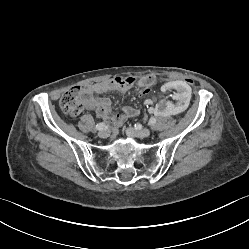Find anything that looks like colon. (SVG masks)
<instances>
[{"mask_svg":"<svg viewBox=\"0 0 249 249\" xmlns=\"http://www.w3.org/2000/svg\"><path fill=\"white\" fill-rule=\"evenodd\" d=\"M139 81L145 85L152 86L154 82L158 81L153 77H149L148 80L146 77H140ZM148 89L143 88L142 91L140 88L136 89V95L140 96L142 93L146 94ZM60 105L62 109L70 114L77 115L79 114L84 107V93L82 88L79 86H74L67 89L61 96Z\"/></svg>","mask_w":249,"mask_h":249,"instance_id":"obj_1","label":"colon"}]
</instances>
